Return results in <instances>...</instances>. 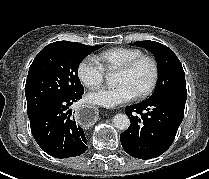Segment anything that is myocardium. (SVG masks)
Listing matches in <instances>:
<instances>
[{
	"label": "myocardium",
	"instance_id": "obj_1",
	"mask_svg": "<svg viewBox=\"0 0 209 179\" xmlns=\"http://www.w3.org/2000/svg\"><path fill=\"white\" fill-rule=\"evenodd\" d=\"M142 61L150 62V64L152 65L153 74H152V79L149 85L144 90L136 94V97L139 99L145 98L148 95H150L157 86L158 79H159V65H158L157 60L151 55L142 54L130 60L128 63H126L125 65H123L117 70V72H120V73H130Z\"/></svg>",
	"mask_w": 209,
	"mask_h": 179
}]
</instances>
